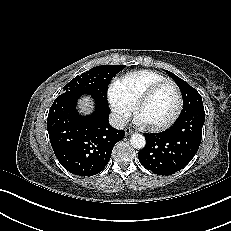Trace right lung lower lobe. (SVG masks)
Returning <instances> with one entry per match:
<instances>
[{
    "instance_id": "1",
    "label": "right lung lower lobe",
    "mask_w": 231,
    "mask_h": 231,
    "mask_svg": "<svg viewBox=\"0 0 231 231\" xmlns=\"http://www.w3.org/2000/svg\"><path fill=\"white\" fill-rule=\"evenodd\" d=\"M84 93L65 91L52 104L47 120L51 146L63 167L72 174L93 176L108 164L114 145L124 137V130L109 122L108 105L95 99V111L81 116L76 101Z\"/></svg>"
}]
</instances>
